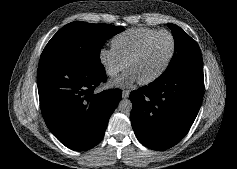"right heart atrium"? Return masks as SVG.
Here are the masks:
<instances>
[{
  "label": "right heart atrium",
  "mask_w": 237,
  "mask_h": 169,
  "mask_svg": "<svg viewBox=\"0 0 237 169\" xmlns=\"http://www.w3.org/2000/svg\"><path fill=\"white\" fill-rule=\"evenodd\" d=\"M99 60L110 77H116L126 67V62L113 48H102L99 51Z\"/></svg>",
  "instance_id": "d8ad5b80"
}]
</instances>
